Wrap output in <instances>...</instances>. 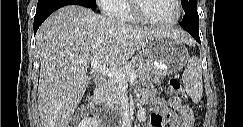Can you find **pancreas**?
I'll list each match as a JSON object with an SVG mask.
<instances>
[{"mask_svg": "<svg viewBox=\"0 0 243 127\" xmlns=\"http://www.w3.org/2000/svg\"><path fill=\"white\" fill-rule=\"evenodd\" d=\"M128 76L129 72L135 71L136 78L144 80L148 77V71L144 69L136 61H131L119 69ZM126 84H120L119 82L109 79L105 84L99 98L104 106L114 110L119 109L121 106V96L124 93Z\"/></svg>", "mask_w": 243, "mask_h": 127, "instance_id": "obj_1", "label": "pancreas"}]
</instances>
